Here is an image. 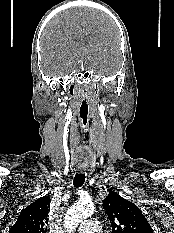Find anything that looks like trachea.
Returning a JSON list of instances; mask_svg holds the SVG:
<instances>
[{"label": "trachea", "instance_id": "obj_1", "mask_svg": "<svg viewBox=\"0 0 174 233\" xmlns=\"http://www.w3.org/2000/svg\"><path fill=\"white\" fill-rule=\"evenodd\" d=\"M85 182V174L84 173H76L74 180H73V185L76 188L81 187Z\"/></svg>", "mask_w": 174, "mask_h": 233}]
</instances>
